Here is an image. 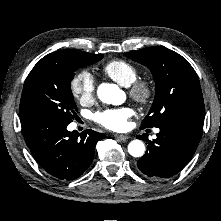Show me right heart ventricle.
I'll return each mask as SVG.
<instances>
[{
	"label": "right heart ventricle",
	"mask_w": 221,
	"mask_h": 221,
	"mask_svg": "<svg viewBox=\"0 0 221 221\" xmlns=\"http://www.w3.org/2000/svg\"><path fill=\"white\" fill-rule=\"evenodd\" d=\"M103 73L124 87H129L138 78V70L124 60H112L102 67Z\"/></svg>",
	"instance_id": "1"
}]
</instances>
